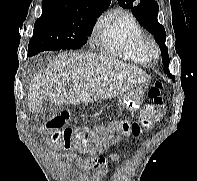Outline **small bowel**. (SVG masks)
Listing matches in <instances>:
<instances>
[{"label":"small bowel","instance_id":"obj_1","mask_svg":"<svg viewBox=\"0 0 197 181\" xmlns=\"http://www.w3.org/2000/svg\"><path fill=\"white\" fill-rule=\"evenodd\" d=\"M69 152V158L76 162L82 168H93L96 170V173L93 176V181H100L101 177L106 172V161L104 157L100 153H95L92 151H81L86 155L85 158L79 157L77 154ZM119 159L117 154H113L110 156V160L116 161Z\"/></svg>","mask_w":197,"mask_h":181}]
</instances>
